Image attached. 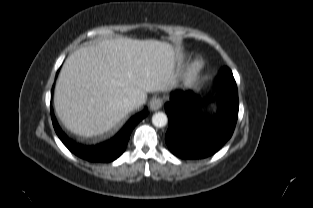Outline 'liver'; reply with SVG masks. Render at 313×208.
<instances>
[{
  "label": "liver",
  "mask_w": 313,
  "mask_h": 208,
  "mask_svg": "<svg viewBox=\"0 0 313 208\" xmlns=\"http://www.w3.org/2000/svg\"><path fill=\"white\" fill-rule=\"evenodd\" d=\"M176 51L167 42L106 39L67 58L55 90V106L73 133L91 137L107 132L127 114L128 94L145 103L148 92L173 85Z\"/></svg>",
  "instance_id": "1"
}]
</instances>
